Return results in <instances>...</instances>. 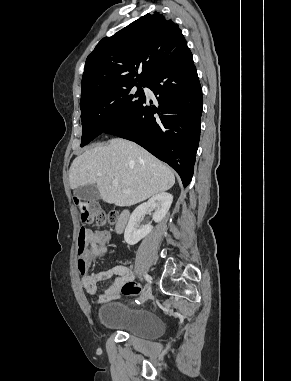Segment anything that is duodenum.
Here are the masks:
<instances>
[{"label":"duodenum","mask_w":291,"mask_h":381,"mask_svg":"<svg viewBox=\"0 0 291 381\" xmlns=\"http://www.w3.org/2000/svg\"><path fill=\"white\" fill-rule=\"evenodd\" d=\"M128 218H129V211L128 210L122 211L120 216L117 219L116 226H115V229L117 232L120 233L124 230L126 223L128 221Z\"/></svg>","instance_id":"410a0bca"}]
</instances>
